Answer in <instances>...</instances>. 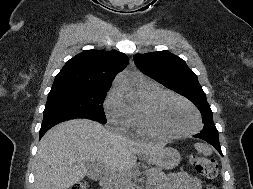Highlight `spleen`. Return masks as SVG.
I'll return each mask as SVG.
<instances>
[{
  "label": "spleen",
  "instance_id": "spleen-1",
  "mask_svg": "<svg viewBox=\"0 0 253 189\" xmlns=\"http://www.w3.org/2000/svg\"><path fill=\"white\" fill-rule=\"evenodd\" d=\"M195 149L197 150L198 153H201L205 156H209L212 154V148L204 143H196Z\"/></svg>",
  "mask_w": 253,
  "mask_h": 189
}]
</instances>
